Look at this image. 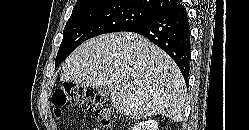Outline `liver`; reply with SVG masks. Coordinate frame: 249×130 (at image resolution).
I'll list each match as a JSON object with an SVG mask.
<instances>
[{
  "label": "liver",
  "mask_w": 249,
  "mask_h": 130,
  "mask_svg": "<svg viewBox=\"0 0 249 130\" xmlns=\"http://www.w3.org/2000/svg\"><path fill=\"white\" fill-rule=\"evenodd\" d=\"M62 82L92 88L107 86L113 106L140 120L161 114L181 121L185 81L176 63L143 36L129 32L87 40L66 59Z\"/></svg>",
  "instance_id": "liver-1"
}]
</instances>
